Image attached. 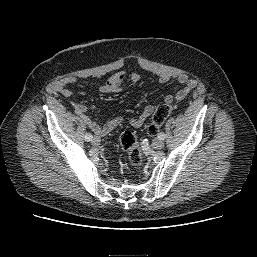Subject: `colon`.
<instances>
[{"label": "colon", "instance_id": "colon-1", "mask_svg": "<svg viewBox=\"0 0 257 257\" xmlns=\"http://www.w3.org/2000/svg\"><path fill=\"white\" fill-rule=\"evenodd\" d=\"M172 111V105L164 103L159 105L152 116L151 123L148 126V133L153 135L164 123ZM121 148L126 152L129 164L132 167H138L142 163V153L138 145L135 134L131 131L122 133L119 139Z\"/></svg>", "mask_w": 257, "mask_h": 257}]
</instances>
